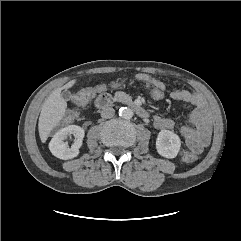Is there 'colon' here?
Wrapping results in <instances>:
<instances>
[{"label": "colon", "mask_w": 241, "mask_h": 241, "mask_svg": "<svg viewBox=\"0 0 241 241\" xmlns=\"http://www.w3.org/2000/svg\"><path fill=\"white\" fill-rule=\"evenodd\" d=\"M136 81L138 84H141L146 89L149 96L153 100L162 101L165 98V94H166L165 89H163L162 87L157 85L144 84V83H141L139 80H136ZM130 83H131L130 80L120 79V80L113 81L111 83V87L116 88L120 86H125ZM105 88L106 86H101L99 90H104ZM94 91H95L94 89H82L72 97V102L75 108L70 110L66 114L64 118V124H70L77 119L79 115V110L86 105L88 100L93 96ZM180 156H181V159L186 163L195 162L197 159V156L194 153L187 150L181 151Z\"/></svg>", "instance_id": "colon-1"}]
</instances>
